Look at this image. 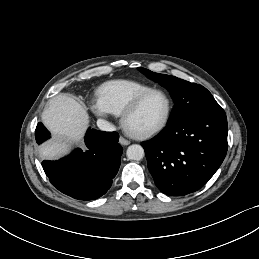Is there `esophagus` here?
<instances>
[{
	"label": "esophagus",
	"mask_w": 259,
	"mask_h": 259,
	"mask_svg": "<svg viewBox=\"0 0 259 259\" xmlns=\"http://www.w3.org/2000/svg\"><path fill=\"white\" fill-rule=\"evenodd\" d=\"M119 142H120L121 145H124V146H127V145L130 144V141L127 140V139H125V138L122 137V136L119 138Z\"/></svg>",
	"instance_id": "esophagus-1"
}]
</instances>
